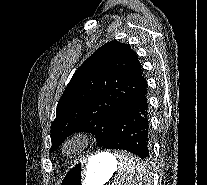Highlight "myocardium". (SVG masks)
Segmentation results:
<instances>
[{
  "instance_id": "f54148a6",
  "label": "myocardium",
  "mask_w": 207,
  "mask_h": 185,
  "mask_svg": "<svg viewBox=\"0 0 207 185\" xmlns=\"http://www.w3.org/2000/svg\"><path fill=\"white\" fill-rule=\"evenodd\" d=\"M92 144L93 139L90 133L86 131H76L62 142L60 151L64 158L68 160H76L85 155ZM69 146L73 147L71 152L67 151Z\"/></svg>"
}]
</instances>
